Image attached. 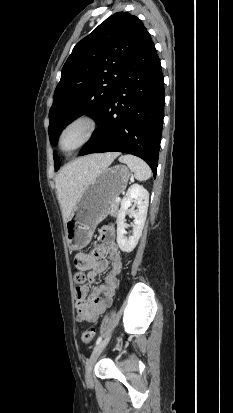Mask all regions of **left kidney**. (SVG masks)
Masks as SVG:
<instances>
[{
  "label": "left kidney",
  "instance_id": "left-kidney-1",
  "mask_svg": "<svg viewBox=\"0 0 233 413\" xmlns=\"http://www.w3.org/2000/svg\"><path fill=\"white\" fill-rule=\"evenodd\" d=\"M132 202H134L133 207H131ZM148 205V191L141 185L133 184L123 198L117 216V243L123 252H132L136 247L145 224ZM127 213H130L134 218L133 231L129 238L125 236V216Z\"/></svg>",
  "mask_w": 233,
  "mask_h": 413
}]
</instances>
